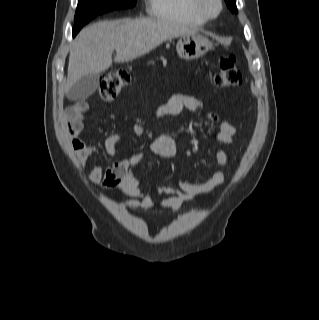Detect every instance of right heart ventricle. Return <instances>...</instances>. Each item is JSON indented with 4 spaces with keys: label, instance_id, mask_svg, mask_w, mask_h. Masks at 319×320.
Masks as SVG:
<instances>
[{
    "label": "right heart ventricle",
    "instance_id": "right-heart-ventricle-1",
    "mask_svg": "<svg viewBox=\"0 0 319 320\" xmlns=\"http://www.w3.org/2000/svg\"><path fill=\"white\" fill-rule=\"evenodd\" d=\"M148 11L156 19L200 27L206 24L194 8V0H148Z\"/></svg>",
    "mask_w": 319,
    "mask_h": 320
}]
</instances>
